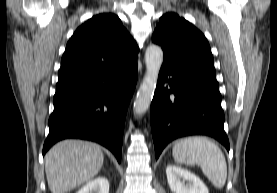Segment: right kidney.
I'll list each match as a JSON object with an SVG mask.
<instances>
[{
    "label": "right kidney",
    "mask_w": 277,
    "mask_h": 193,
    "mask_svg": "<svg viewBox=\"0 0 277 193\" xmlns=\"http://www.w3.org/2000/svg\"><path fill=\"white\" fill-rule=\"evenodd\" d=\"M76 193H109V182L104 177H98L88 182Z\"/></svg>",
    "instance_id": "ca27d5eb"
}]
</instances>
